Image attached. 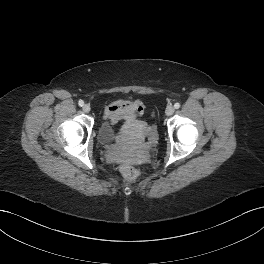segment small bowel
I'll list each match as a JSON object with an SVG mask.
<instances>
[{"mask_svg":"<svg viewBox=\"0 0 264 264\" xmlns=\"http://www.w3.org/2000/svg\"><path fill=\"white\" fill-rule=\"evenodd\" d=\"M145 105L140 100H116L105 107L104 116L111 123L131 121L144 113Z\"/></svg>","mask_w":264,"mask_h":264,"instance_id":"1","label":"small bowel"}]
</instances>
